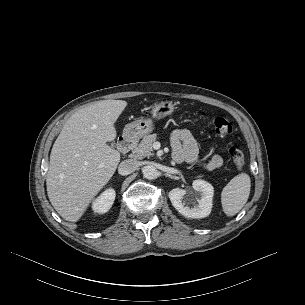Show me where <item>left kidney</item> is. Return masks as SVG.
<instances>
[{
    "label": "left kidney",
    "instance_id": "1",
    "mask_svg": "<svg viewBox=\"0 0 305 305\" xmlns=\"http://www.w3.org/2000/svg\"><path fill=\"white\" fill-rule=\"evenodd\" d=\"M193 189L197 192L195 204L187 194L185 189L175 188L168 194L169 199L174 208L183 216L187 218H204L207 217L212 209V200L214 194L213 186L204 180H194ZM193 204L189 207L188 204Z\"/></svg>",
    "mask_w": 305,
    "mask_h": 305
}]
</instances>
